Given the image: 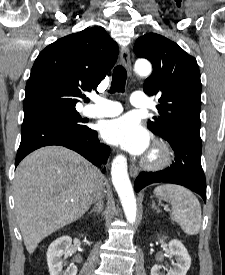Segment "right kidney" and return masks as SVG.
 Instances as JSON below:
<instances>
[{
    "label": "right kidney",
    "instance_id": "1",
    "mask_svg": "<svg viewBox=\"0 0 225 275\" xmlns=\"http://www.w3.org/2000/svg\"><path fill=\"white\" fill-rule=\"evenodd\" d=\"M72 238L69 236H62L53 241L47 250V264L50 275H76L77 266L69 265L67 269H63L64 254L70 253V246Z\"/></svg>",
    "mask_w": 225,
    "mask_h": 275
}]
</instances>
